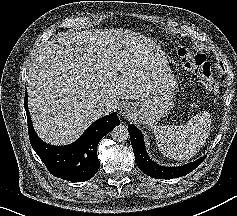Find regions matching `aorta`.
<instances>
[{"mask_svg":"<svg viewBox=\"0 0 237 216\" xmlns=\"http://www.w3.org/2000/svg\"><path fill=\"white\" fill-rule=\"evenodd\" d=\"M111 135L113 140L120 143L127 141L130 136L128 128L124 125L114 127V129L111 131Z\"/></svg>","mask_w":237,"mask_h":216,"instance_id":"762f6f07","label":"aorta"}]
</instances>
